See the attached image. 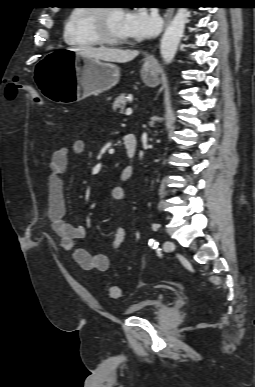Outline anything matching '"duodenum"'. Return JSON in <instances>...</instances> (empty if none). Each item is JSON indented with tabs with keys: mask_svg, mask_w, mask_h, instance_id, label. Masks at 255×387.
Wrapping results in <instances>:
<instances>
[{
	"mask_svg": "<svg viewBox=\"0 0 255 387\" xmlns=\"http://www.w3.org/2000/svg\"><path fill=\"white\" fill-rule=\"evenodd\" d=\"M123 143L126 149V154L130 159V163L122 170L121 177L125 180L129 179L133 174L132 160L137 152V140L133 134H126L123 137Z\"/></svg>",
	"mask_w": 255,
	"mask_h": 387,
	"instance_id": "duodenum-1",
	"label": "duodenum"
}]
</instances>
